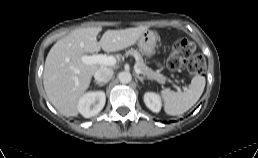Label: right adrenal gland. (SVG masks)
<instances>
[{
	"mask_svg": "<svg viewBox=\"0 0 258 158\" xmlns=\"http://www.w3.org/2000/svg\"><path fill=\"white\" fill-rule=\"evenodd\" d=\"M95 84L98 85V86H104L105 85V83H98V82H95Z\"/></svg>",
	"mask_w": 258,
	"mask_h": 158,
	"instance_id": "obj_1",
	"label": "right adrenal gland"
}]
</instances>
